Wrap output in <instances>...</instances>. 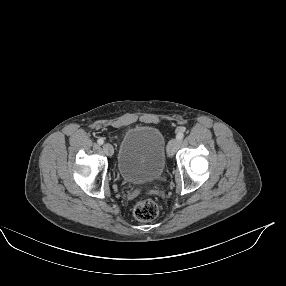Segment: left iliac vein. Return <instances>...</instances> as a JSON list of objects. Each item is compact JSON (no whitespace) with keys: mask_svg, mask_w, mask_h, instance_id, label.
Returning <instances> with one entry per match:
<instances>
[{"mask_svg":"<svg viewBox=\"0 0 286 286\" xmlns=\"http://www.w3.org/2000/svg\"><path fill=\"white\" fill-rule=\"evenodd\" d=\"M179 146V140L178 139H171L167 146V154L169 157H172Z\"/></svg>","mask_w":286,"mask_h":286,"instance_id":"left-iliac-vein-1","label":"left iliac vein"}]
</instances>
